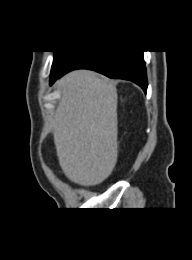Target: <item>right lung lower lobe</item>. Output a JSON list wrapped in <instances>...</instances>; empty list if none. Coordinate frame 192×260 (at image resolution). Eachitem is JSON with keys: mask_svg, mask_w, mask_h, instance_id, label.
I'll return each instance as SVG.
<instances>
[{"mask_svg": "<svg viewBox=\"0 0 192 260\" xmlns=\"http://www.w3.org/2000/svg\"><path fill=\"white\" fill-rule=\"evenodd\" d=\"M74 69H90L110 78L129 80L147 90V76L143 51H87L76 54L65 67L50 78L54 83Z\"/></svg>", "mask_w": 192, "mask_h": 260, "instance_id": "98d812e1", "label": "right lung lower lobe"}]
</instances>
